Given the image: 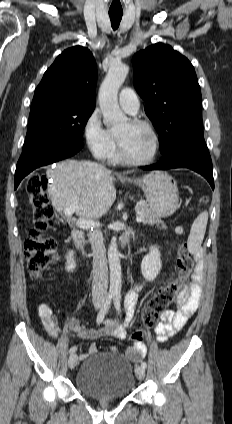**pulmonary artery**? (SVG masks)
<instances>
[{
    "label": "pulmonary artery",
    "mask_w": 232,
    "mask_h": 424,
    "mask_svg": "<svg viewBox=\"0 0 232 424\" xmlns=\"http://www.w3.org/2000/svg\"><path fill=\"white\" fill-rule=\"evenodd\" d=\"M120 107L131 115H135L140 107L138 95L131 88H124L119 94Z\"/></svg>",
    "instance_id": "obj_1"
}]
</instances>
